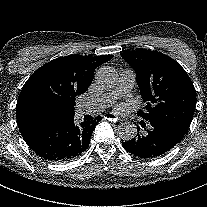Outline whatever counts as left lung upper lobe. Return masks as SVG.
<instances>
[{"instance_id": "obj_1", "label": "left lung upper lobe", "mask_w": 207, "mask_h": 207, "mask_svg": "<svg viewBox=\"0 0 207 207\" xmlns=\"http://www.w3.org/2000/svg\"><path fill=\"white\" fill-rule=\"evenodd\" d=\"M120 55L135 70L145 102L137 114L150 125H160L183 138L196 106V90L183 67L157 51L135 50Z\"/></svg>"}]
</instances>
